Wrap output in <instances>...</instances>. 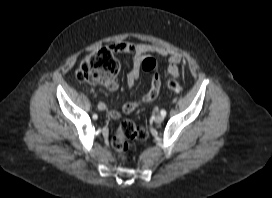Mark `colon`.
Wrapping results in <instances>:
<instances>
[{
  "label": "colon",
  "mask_w": 272,
  "mask_h": 198,
  "mask_svg": "<svg viewBox=\"0 0 272 198\" xmlns=\"http://www.w3.org/2000/svg\"><path fill=\"white\" fill-rule=\"evenodd\" d=\"M111 48H103L99 51L88 55L76 70V78L84 84H105L116 76L119 71V63L113 54ZM143 70L150 74L157 71L156 62L152 59H145L142 63ZM168 89L180 94L182 87L176 81L168 82ZM149 136L147 128L137 126L130 120L123 121L111 140L114 149L120 161L126 159L128 149V140H146Z\"/></svg>",
  "instance_id": "colon-1"
}]
</instances>
